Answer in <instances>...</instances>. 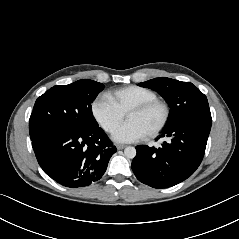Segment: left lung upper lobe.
<instances>
[{"instance_id":"left-lung-upper-lobe-1","label":"left lung upper lobe","mask_w":239,"mask_h":239,"mask_svg":"<svg viewBox=\"0 0 239 239\" xmlns=\"http://www.w3.org/2000/svg\"><path fill=\"white\" fill-rule=\"evenodd\" d=\"M139 86L157 91L169 104L166 126L194 118L211 119L206 96L190 82L161 77L139 83Z\"/></svg>"}]
</instances>
